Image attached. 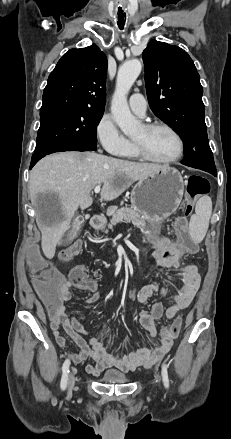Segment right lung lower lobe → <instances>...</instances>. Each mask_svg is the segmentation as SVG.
Returning <instances> with one entry per match:
<instances>
[{"instance_id":"1","label":"right lung lower lobe","mask_w":231,"mask_h":439,"mask_svg":"<svg viewBox=\"0 0 231 439\" xmlns=\"http://www.w3.org/2000/svg\"><path fill=\"white\" fill-rule=\"evenodd\" d=\"M62 151H86V150L79 149V148H64V149L53 150V151H49V152H36L32 156L30 169L44 156L55 153V152H62Z\"/></svg>"}]
</instances>
